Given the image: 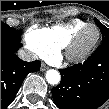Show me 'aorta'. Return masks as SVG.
Returning <instances> with one entry per match:
<instances>
[{
    "label": "aorta",
    "mask_w": 109,
    "mask_h": 109,
    "mask_svg": "<svg viewBox=\"0 0 109 109\" xmlns=\"http://www.w3.org/2000/svg\"><path fill=\"white\" fill-rule=\"evenodd\" d=\"M46 79L49 84L57 85L60 82L61 76L57 70L50 69L46 72Z\"/></svg>",
    "instance_id": "762f6f07"
}]
</instances>
